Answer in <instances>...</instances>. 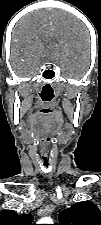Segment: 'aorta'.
Returning <instances> with one entry per match:
<instances>
[{
    "label": "aorta",
    "instance_id": "1",
    "mask_svg": "<svg viewBox=\"0 0 101 225\" xmlns=\"http://www.w3.org/2000/svg\"><path fill=\"white\" fill-rule=\"evenodd\" d=\"M39 224H52V220L49 217H45L39 221Z\"/></svg>",
    "mask_w": 101,
    "mask_h": 225
}]
</instances>
